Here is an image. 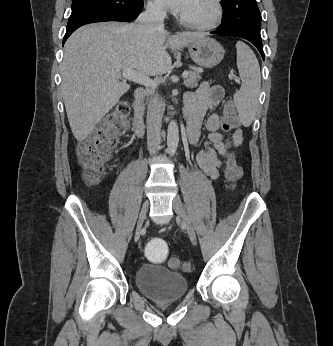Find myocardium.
I'll use <instances>...</instances> for the list:
<instances>
[{
	"label": "myocardium",
	"instance_id": "myocardium-1",
	"mask_svg": "<svg viewBox=\"0 0 333 346\" xmlns=\"http://www.w3.org/2000/svg\"><path fill=\"white\" fill-rule=\"evenodd\" d=\"M211 3V6L213 8V14L211 18L207 21H197L194 19H190L188 17H185L183 15H180L179 20L180 22L187 27L207 31L215 29L220 25L222 22L223 16H224V10L221 3V0H209Z\"/></svg>",
	"mask_w": 333,
	"mask_h": 346
}]
</instances>
